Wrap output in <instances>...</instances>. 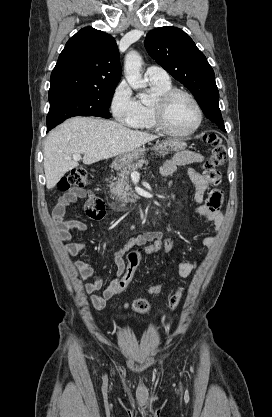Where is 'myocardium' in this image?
<instances>
[{
    "label": "myocardium",
    "mask_w": 272,
    "mask_h": 417,
    "mask_svg": "<svg viewBox=\"0 0 272 417\" xmlns=\"http://www.w3.org/2000/svg\"><path fill=\"white\" fill-rule=\"evenodd\" d=\"M179 96H184L188 98L194 105L196 112H197L196 124L193 126V128H191L190 130L186 132L174 131L173 129L169 127L166 121V114H167V110L170 104L175 98ZM152 116H153V121L156 127L160 131H162L163 133L167 135H170L173 137H179V138L187 137V136L194 134L200 128L202 121H203V111L198 100L190 92L183 90V89H177V88H172L162 93L158 97H156L154 103L152 104Z\"/></svg>",
    "instance_id": "myocardium-1"
}]
</instances>
